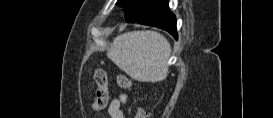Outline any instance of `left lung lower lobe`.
Returning a JSON list of instances; mask_svg holds the SVG:
<instances>
[{"label":"left lung lower lobe","mask_w":273,"mask_h":118,"mask_svg":"<svg viewBox=\"0 0 273 118\" xmlns=\"http://www.w3.org/2000/svg\"><path fill=\"white\" fill-rule=\"evenodd\" d=\"M136 23L161 28L169 32L175 39H177L176 18L170 11L168 3L159 12L152 14L144 20Z\"/></svg>","instance_id":"obj_1"}]
</instances>
